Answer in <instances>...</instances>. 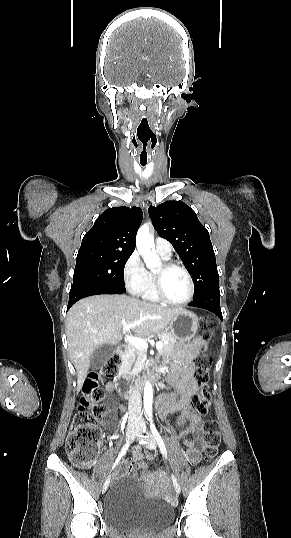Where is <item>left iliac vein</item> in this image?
I'll return each instance as SVG.
<instances>
[{
    "mask_svg": "<svg viewBox=\"0 0 291 538\" xmlns=\"http://www.w3.org/2000/svg\"><path fill=\"white\" fill-rule=\"evenodd\" d=\"M140 433H147L148 435L146 438L147 442L145 443V447L151 450H156V447H157L156 441L154 437L148 432L147 425L144 421H141V423L138 425L136 434H140ZM173 484H174L176 493L179 494L180 485L175 477H173Z\"/></svg>",
    "mask_w": 291,
    "mask_h": 538,
    "instance_id": "left-iliac-vein-1",
    "label": "left iliac vein"
}]
</instances>
